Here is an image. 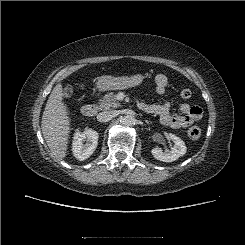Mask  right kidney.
<instances>
[{"label":"right kidney","mask_w":245,"mask_h":245,"mask_svg":"<svg viewBox=\"0 0 245 245\" xmlns=\"http://www.w3.org/2000/svg\"><path fill=\"white\" fill-rule=\"evenodd\" d=\"M98 137L99 134L92 129H87L82 133L77 131L74 135V140L72 143V151L74 156L80 161L89 158L98 145ZM85 139L87 142L86 144H83Z\"/></svg>","instance_id":"ca27d5eb"}]
</instances>
